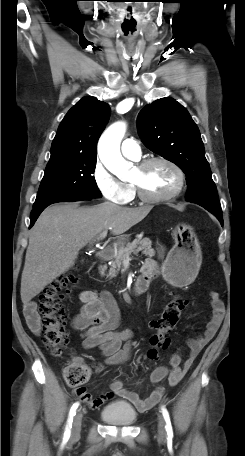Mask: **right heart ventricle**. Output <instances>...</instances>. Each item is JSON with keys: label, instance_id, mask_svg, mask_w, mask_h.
I'll list each match as a JSON object with an SVG mask.
<instances>
[{"label": "right heart ventricle", "instance_id": "e07e8e85", "mask_svg": "<svg viewBox=\"0 0 245 456\" xmlns=\"http://www.w3.org/2000/svg\"><path fill=\"white\" fill-rule=\"evenodd\" d=\"M127 186L129 188V191H130V195H129V200L128 201H131L134 198V196H135V190H134L132 185L127 184Z\"/></svg>", "mask_w": 245, "mask_h": 456}]
</instances>
